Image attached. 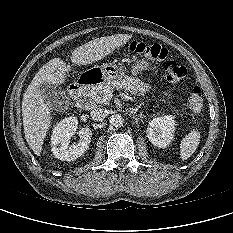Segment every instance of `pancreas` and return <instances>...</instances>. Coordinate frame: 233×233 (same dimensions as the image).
<instances>
[{
  "label": "pancreas",
  "instance_id": "1",
  "mask_svg": "<svg viewBox=\"0 0 233 233\" xmlns=\"http://www.w3.org/2000/svg\"><path fill=\"white\" fill-rule=\"evenodd\" d=\"M127 89L134 95H144L149 91L150 87L139 79L129 78L127 81H110L104 82L97 85H93L89 90L84 92V97L88 103L94 106L106 104L108 99L107 93H111L113 90Z\"/></svg>",
  "mask_w": 233,
  "mask_h": 233
}]
</instances>
